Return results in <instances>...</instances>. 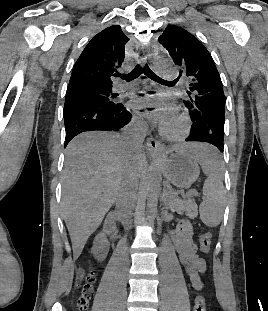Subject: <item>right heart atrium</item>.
<instances>
[{
    "label": "right heart atrium",
    "instance_id": "right-heart-atrium-1",
    "mask_svg": "<svg viewBox=\"0 0 268 311\" xmlns=\"http://www.w3.org/2000/svg\"><path fill=\"white\" fill-rule=\"evenodd\" d=\"M137 126L141 128L143 125L142 124H137Z\"/></svg>",
    "mask_w": 268,
    "mask_h": 311
}]
</instances>
